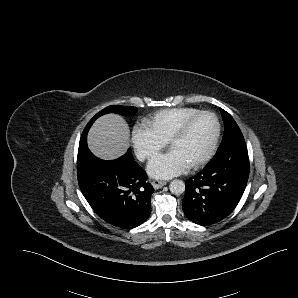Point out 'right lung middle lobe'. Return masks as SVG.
<instances>
[{
  "instance_id": "dd1d6c3e",
  "label": "right lung middle lobe",
  "mask_w": 298,
  "mask_h": 298,
  "mask_svg": "<svg viewBox=\"0 0 298 298\" xmlns=\"http://www.w3.org/2000/svg\"><path fill=\"white\" fill-rule=\"evenodd\" d=\"M137 108L136 107H129V106H121V105H111L97 113L87 124L86 128L84 129L80 143H79V150H78V157H83L85 156L88 152L89 149L87 147V133L90 128V126L93 124V122L100 117L101 115H104L106 113H118L121 115H133L136 113ZM127 153L131 154V150L129 149Z\"/></svg>"
}]
</instances>
